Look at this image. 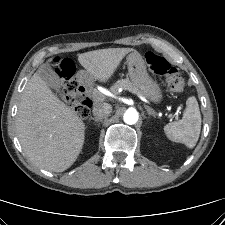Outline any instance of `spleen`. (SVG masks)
<instances>
[{
	"mask_svg": "<svg viewBox=\"0 0 225 225\" xmlns=\"http://www.w3.org/2000/svg\"><path fill=\"white\" fill-rule=\"evenodd\" d=\"M201 131V114L194 96L186 101V109L179 121L164 126L167 138L173 142L183 143L188 148L195 147Z\"/></svg>",
	"mask_w": 225,
	"mask_h": 225,
	"instance_id": "obj_1",
	"label": "spleen"
}]
</instances>
